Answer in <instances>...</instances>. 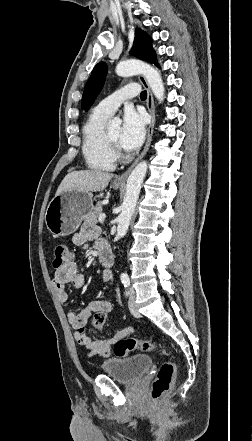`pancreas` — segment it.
<instances>
[{"label":"pancreas","mask_w":252,"mask_h":441,"mask_svg":"<svg viewBox=\"0 0 252 441\" xmlns=\"http://www.w3.org/2000/svg\"><path fill=\"white\" fill-rule=\"evenodd\" d=\"M102 203L98 202L96 206L93 208V210L85 217V219L92 223H97V218L100 214H102Z\"/></svg>","instance_id":"1"}]
</instances>
